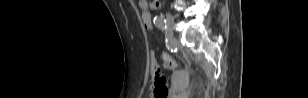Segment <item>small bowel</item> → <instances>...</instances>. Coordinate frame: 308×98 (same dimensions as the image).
<instances>
[{"label": "small bowel", "instance_id": "small-bowel-1", "mask_svg": "<svg viewBox=\"0 0 308 98\" xmlns=\"http://www.w3.org/2000/svg\"><path fill=\"white\" fill-rule=\"evenodd\" d=\"M138 5L141 9H150L151 11H153V10H156L160 7V2L159 1L149 2L147 0H139ZM142 18H143V16H142ZM150 21H151V19H150Z\"/></svg>", "mask_w": 308, "mask_h": 98}]
</instances>
